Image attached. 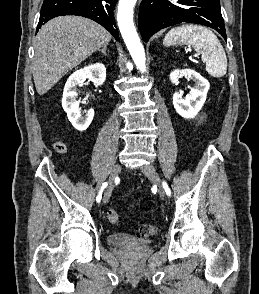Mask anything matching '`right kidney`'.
<instances>
[{
	"instance_id": "obj_1",
	"label": "right kidney",
	"mask_w": 259,
	"mask_h": 294,
	"mask_svg": "<svg viewBox=\"0 0 259 294\" xmlns=\"http://www.w3.org/2000/svg\"><path fill=\"white\" fill-rule=\"evenodd\" d=\"M89 79L94 84L102 85L106 80V68L102 63L88 65L83 69L75 71L68 78L63 92L62 107L67 113L69 121L75 129L84 131L88 128L94 117V110L89 109L84 116L79 109L77 86Z\"/></svg>"
}]
</instances>
